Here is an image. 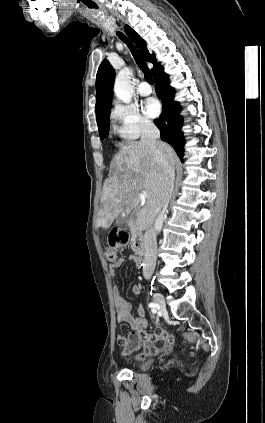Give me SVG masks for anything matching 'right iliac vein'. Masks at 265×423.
Returning a JSON list of instances; mask_svg holds the SVG:
<instances>
[{
    "mask_svg": "<svg viewBox=\"0 0 265 423\" xmlns=\"http://www.w3.org/2000/svg\"><path fill=\"white\" fill-rule=\"evenodd\" d=\"M153 300L156 303V305L161 309H165V300L164 297L160 293H153Z\"/></svg>",
    "mask_w": 265,
    "mask_h": 423,
    "instance_id": "right-iliac-vein-1",
    "label": "right iliac vein"
}]
</instances>
